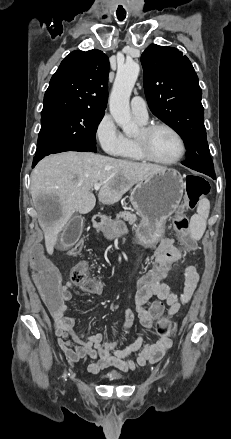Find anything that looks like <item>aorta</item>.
Returning a JSON list of instances; mask_svg holds the SVG:
<instances>
[{
	"instance_id": "1",
	"label": "aorta",
	"mask_w": 231,
	"mask_h": 439,
	"mask_svg": "<svg viewBox=\"0 0 231 439\" xmlns=\"http://www.w3.org/2000/svg\"><path fill=\"white\" fill-rule=\"evenodd\" d=\"M139 71V64L134 61L119 66L110 94V113L126 135L137 131V126L131 118L129 101Z\"/></svg>"
}]
</instances>
